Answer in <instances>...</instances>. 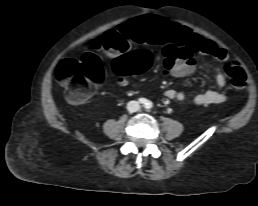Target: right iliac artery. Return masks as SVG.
<instances>
[{
  "instance_id": "obj_1",
  "label": "right iliac artery",
  "mask_w": 258,
  "mask_h": 206,
  "mask_svg": "<svg viewBox=\"0 0 258 206\" xmlns=\"http://www.w3.org/2000/svg\"><path fill=\"white\" fill-rule=\"evenodd\" d=\"M139 102H140L141 104H145V105H146L147 100H146L145 98H140V99H139Z\"/></svg>"
}]
</instances>
